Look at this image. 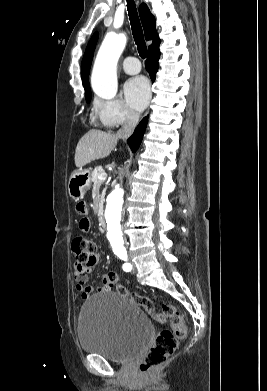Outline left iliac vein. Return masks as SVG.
Instances as JSON below:
<instances>
[{"instance_id":"obj_1","label":"left iliac vein","mask_w":267,"mask_h":391,"mask_svg":"<svg viewBox=\"0 0 267 391\" xmlns=\"http://www.w3.org/2000/svg\"><path fill=\"white\" fill-rule=\"evenodd\" d=\"M132 266H133V268H132V273L134 274V273L136 272V267H135V264H134V263H132Z\"/></svg>"}]
</instances>
